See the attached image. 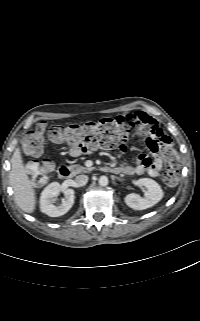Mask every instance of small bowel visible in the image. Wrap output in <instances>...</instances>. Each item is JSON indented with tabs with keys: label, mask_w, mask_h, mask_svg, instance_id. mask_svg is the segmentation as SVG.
<instances>
[{
	"label": "small bowel",
	"mask_w": 200,
	"mask_h": 321,
	"mask_svg": "<svg viewBox=\"0 0 200 321\" xmlns=\"http://www.w3.org/2000/svg\"><path fill=\"white\" fill-rule=\"evenodd\" d=\"M133 124H141L148 132L145 145L148 153L138 155L135 165H124L117 167L120 173L125 175H144L155 177L159 174L165 154L171 147V139L158 126L157 122L142 112H131L121 116Z\"/></svg>",
	"instance_id": "1"
}]
</instances>
